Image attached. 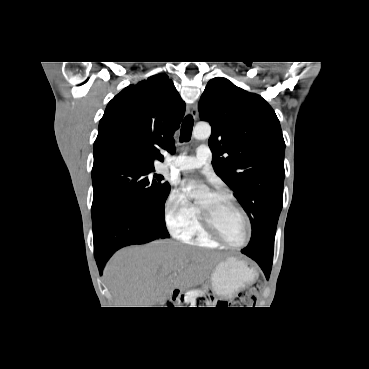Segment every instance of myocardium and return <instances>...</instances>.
Masks as SVG:
<instances>
[{"label": "myocardium", "mask_w": 369, "mask_h": 369, "mask_svg": "<svg viewBox=\"0 0 369 369\" xmlns=\"http://www.w3.org/2000/svg\"><path fill=\"white\" fill-rule=\"evenodd\" d=\"M212 194L216 197H220V198H226L229 199L237 208L238 210L241 212L244 221H245V225H246V238L245 240L240 243V244H234L229 242L227 239H225L220 232L217 230L216 226L214 225L211 217L199 207V220L201 223V226L203 228V230L215 241H217L220 244H223L227 247L230 248H234V249H240L243 248L245 246H247L251 240V236H252V226H251V221L249 218V215L247 213V211L245 210V208L240 204V202L236 199V197L234 195H232L231 193L227 192V191H223V190H217L212 192Z\"/></svg>", "instance_id": "f54148a6"}]
</instances>
